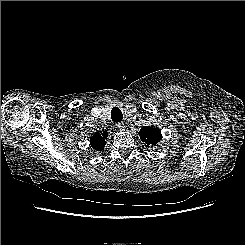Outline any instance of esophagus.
<instances>
[{"label": "esophagus", "instance_id": "esophagus-1", "mask_svg": "<svg viewBox=\"0 0 245 245\" xmlns=\"http://www.w3.org/2000/svg\"><path fill=\"white\" fill-rule=\"evenodd\" d=\"M116 127L119 129V130H124L125 129V124L123 122H120V123H117L116 124Z\"/></svg>", "mask_w": 245, "mask_h": 245}]
</instances>
